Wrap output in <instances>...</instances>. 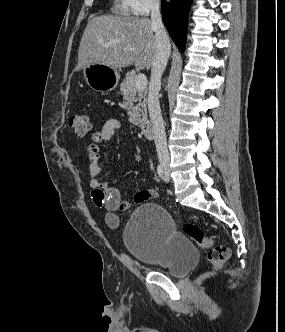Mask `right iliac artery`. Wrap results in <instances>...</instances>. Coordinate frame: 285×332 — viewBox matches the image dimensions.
I'll use <instances>...</instances> for the list:
<instances>
[{
	"mask_svg": "<svg viewBox=\"0 0 285 332\" xmlns=\"http://www.w3.org/2000/svg\"><path fill=\"white\" fill-rule=\"evenodd\" d=\"M157 173L161 179H164V169L161 164L157 166Z\"/></svg>",
	"mask_w": 285,
	"mask_h": 332,
	"instance_id": "82829eb1",
	"label": "right iliac artery"
}]
</instances>
